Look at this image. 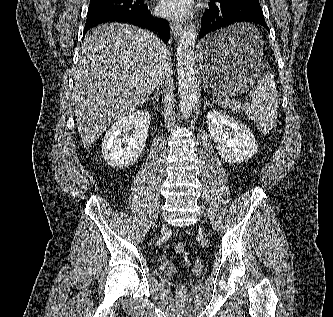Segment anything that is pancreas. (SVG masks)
Returning a JSON list of instances; mask_svg holds the SVG:
<instances>
[{
	"mask_svg": "<svg viewBox=\"0 0 333 317\" xmlns=\"http://www.w3.org/2000/svg\"><path fill=\"white\" fill-rule=\"evenodd\" d=\"M222 106L224 108H228V109H232V110H236L237 109V105L236 104H233L232 102L230 101H225L224 103H222Z\"/></svg>",
	"mask_w": 333,
	"mask_h": 317,
	"instance_id": "obj_1",
	"label": "pancreas"
}]
</instances>
